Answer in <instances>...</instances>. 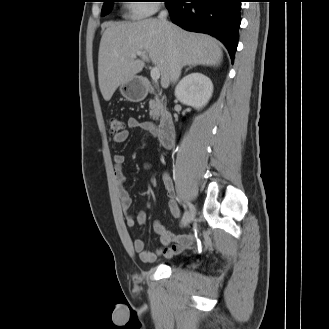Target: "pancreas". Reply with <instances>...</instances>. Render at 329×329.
Segmentation results:
<instances>
[{"label":"pancreas","instance_id":"1","mask_svg":"<svg viewBox=\"0 0 329 329\" xmlns=\"http://www.w3.org/2000/svg\"><path fill=\"white\" fill-rule=\"evenodd\" d=\"M149 108H150V117L153 120H158L160 114L164 111L165 105L163 104V99L162 100H156L152 99L149 102Z\"/></svg>","mask_w":329,"mask_h":329}]
</instances>
